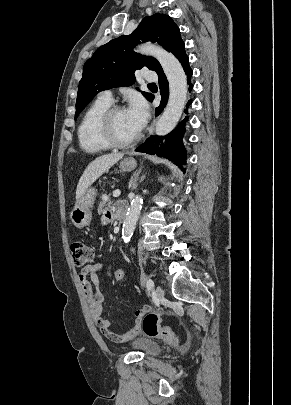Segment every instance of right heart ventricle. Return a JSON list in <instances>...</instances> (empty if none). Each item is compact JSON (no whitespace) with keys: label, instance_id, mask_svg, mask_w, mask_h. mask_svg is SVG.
<instances>
[{"label":"right heart ventricle","instance_id":"1","mask_svg":"<svg viewBox=\"0 0 291 405\" xmlns=\"http://www.w3.org/2000/svg\"><path fill=\"white\" fill-rule=\"evenodd\" d=\"M110 106L111 103L98 98L84 112L77 130L79 145L83 151L96 154L111 148L104 142L99 131L100 120Z\"/></svg>","mask_w":291,"mask_h":405}]
</instances>
